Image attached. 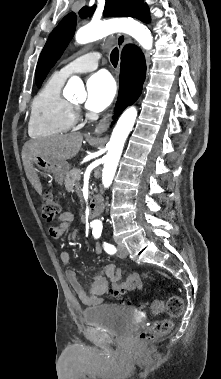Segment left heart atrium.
Masks as SVG:
<instances>
[{
  "instance_id": "39dd6f15",
  "label": "left heart atrium",
  "mask_w": 221,
  "mask_h": 379,
  "mask_svg": "<svg viewBox=\"0 0 221 379\" xmlns=\"http://www.w3.org/2000/svg\"><path fill=\"white\" fill-rule=\"evenodd\" d=\"M86 89L87 99L85 106L93 112H100L106 109L116 94V84L113 78L105 72H98L92 75L87 81Z\"/></svg>"
}]
</instances>
